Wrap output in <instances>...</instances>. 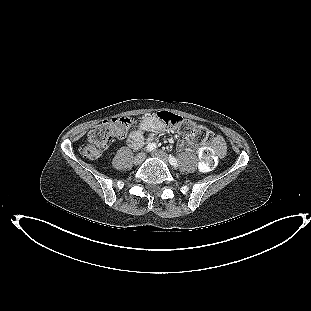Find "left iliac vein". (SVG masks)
<instances>
[{"label": "left iliac vein", "mask_w": 311, "mask_h": 311, "mask_svg": "<svg viewBox=\"0 0 311 311\" xmlns=\"http://www.w3.org/2000/svg\"><path fill=\"white\" fill-rule=\"evenodd\" d=\"M154 157L161 159L163 162L168 163L169 158L166 153L161 150H156L151 153Z\"/></svg>", "instance_id": "obj_1"}]
</instances>
